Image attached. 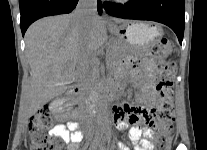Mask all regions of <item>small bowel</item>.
I'll return each mask as SVG.
<instances>
[{
  "instance_id": "1",
  "label": "small bowel",
  "mask_w": 207,
  "mask_h": 150,
  "mask_svg": "<svg viewBox=\"0 0 207 150\" xmlns=\"http://www.w3.org/2000/svg\"><path fill=\"white\" fill-rule=\"evenodd\" d=\"M126 65L134 67L133 62ZM156 64L151 59H144L133 69L132 77L138 83L140 94L139 102L142 106L134 107L129 104L116 103L113 106V120L121 130L129 129V139L136 145L135 150H152L150 141L152 133L149 129H143V124L149 116L150 107L157 102V93L154 89V73ZM51 135L61 139L67 144L68 150H77L83 139V133L79 131L78 125L69 122L67 125H57L51 130ZM106 150H130V145H124V140H107ZM111 144V145H110Z\"/></svg>"
}]
</instances>
